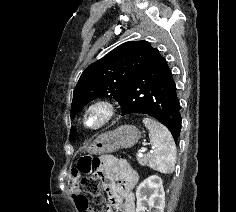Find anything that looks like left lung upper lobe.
<instances>
[{
  "label": "left lung upper lobe",
  "mask_w": 236,
  "mask_h": 212,
  "mask_svg": "<svg viewBox=\"0 0 236 212\" xmlns=\"http://www.w3.org/2000/svg\"><path fill=\"white\" fill-rule=\"evenodd\" d=\"M149 47L147 41L126 42L92 63L80 76L73 92L71 117L97 97L120 101L132 82ZM77 135L71 128L70 138Z\"/></svg>",
  "instance_id": "obj_1"
}]
</instances>
